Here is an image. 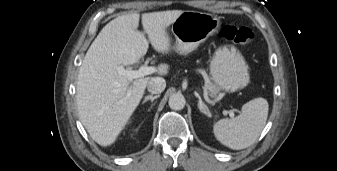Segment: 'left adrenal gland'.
<instances>
[{
	"label": "left adrenal gland",
	"instance_id": "obj_1",
	"mask_svg": "<svg viewBox=\"0 0 337 171\" xmlns=\"http://www.w3.org/2000/svg\"><path fill=\"white\" fill-rule=\"evenodd\" d=\"M195 96L199 99L198 107H199L200 111H201L202 113H205V114L209 115L208 107H207L206 104L202 101L200 95H199L197 92H195Z\"/></svg>",
	"mask_w": 337,
	"mask_h": 171
}]
</instances>
